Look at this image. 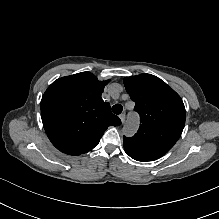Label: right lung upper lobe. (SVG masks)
<instances>
[{"mask_svg":"<svg viewBox=\"0 0 219 219\" xmlns=\"http://www.w3.org/2000/svg\"><path fill=\"white\" fill-rule=\"evenodd\" d=\"M105 84L92 73L81 72L59 78L48 87L41 100V117L58 150L69 155L86 153L109 126L121 124L101 98Z\"/></svg>","mask_w":219,"mask_h":219,"instance_id":"obj_1","label":"right lung upper lobe"}]
</instances>
